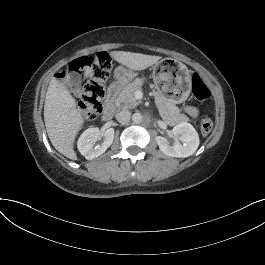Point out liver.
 <instances>
[{
  "label": "liver",
  "instance_id": "6515ba94",
  "mask_svg": "<svg viewBox=\"0 0 265 265\" xmlns=\"http://www.w3.org/2000/svg\"><path fill=\"white\" fill-rule=\"evenodd\" d=\"M109 56L132 72L144 71L162 59L160 56L125 51H111ZM43 115L49 140L55 150L76 161V138L91 116L79 108L69 88L57 77H53L48 86Z\"/></svg>",
  "mask_w": 265,
  "mask_h": 265
}]
</instances>
